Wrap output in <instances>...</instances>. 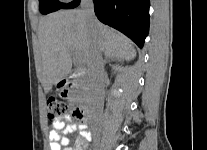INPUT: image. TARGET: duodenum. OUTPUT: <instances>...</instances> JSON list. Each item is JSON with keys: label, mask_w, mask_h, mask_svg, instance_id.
Here are the masks:
<instances>
[{"label": "duodenum", "mask_w": 207, "mask_h": 150, "mask_svg": "<svg viewBox=\"0 0 207 150\" xmlns=\"http://www.w3.org/2000/svg\"><path fill=\"white\" fill-rule=\"evenodd\" d=\"M62 84L64 86H72L74 85V79L72 76H68L66 78L63 79ZM90 91L92 90L91 88L89 89ZM80 113L82 114V118L83 116L87 117L90 114V110L88 107H83L80 109Z\"/></svg>", "instance_id": "obj_1"}]
</instances>
